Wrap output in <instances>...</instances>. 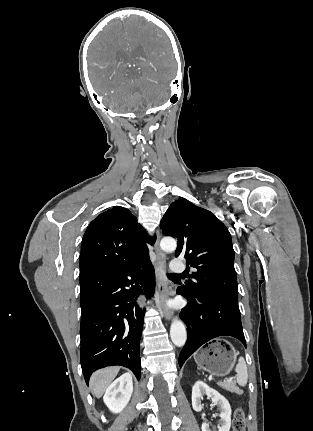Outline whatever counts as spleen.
<instances>
[{"mask_svg": "<svg viewBox=\"0 0 313 431\" xmlns=\"http://www.w3.org/2000/svg\"><path fill=\"white\" fill-rule=\"evenodd\" d=\"M235 371L237 373V383L242 387L245 386L248 381V372L246 362L243 357L239 358Z\"/></svg>", "mask_w": 313, "mask_h": 431, "instance_id": "3e777b00", "label": "spleen"}]
</instances>
